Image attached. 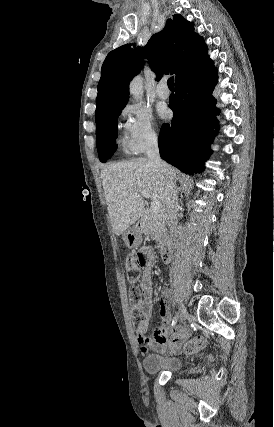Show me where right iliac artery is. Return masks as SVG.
I'll list each match as a JSON object with an SVG mask.
<instances>
[{
  "mask_svg": "<svg viewBox=\"0 0 274 427\" xmlns=\"http://www.w3.org/2000/svg\"><path fill=\"white\" fill-rule=\"evenodd\" d=\"M177 323V316H174L173 320H172V327H174Z\"/></svg>",
  "mask_w": 274,
  "mask_h": 427,
  "instance_id": "1",
  "label": "right iliac artery"
}]
</instances>
